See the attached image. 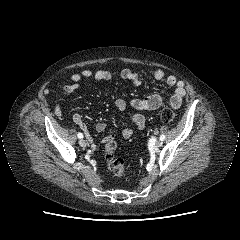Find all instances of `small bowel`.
Masks as SVG:
<instances>
[{"label": "small bowel", "mask_w": 240, "mask_h": 240, "mask_svg": "<svg viewBox=\"0 0 240 240\" xmlns=\"http://www.w3.org/2000/svg\"><path fill=\"white\" fill-rule=\"evenodd\" d=\"M120 76L122 79L129 81L136 87L140 86L143 83L144 79H151V80L165 79L166 84L174 88V92L169 99V104L173 109H178L181 106L183 98L186 94L184 82L181 80H178L173 75L165 76V73L161 69H156L148 74H141L129 68H125L121 70ZM112 77H113V74L107 70H98L93 72L89 69H81L80 71L70 75L69 83L64 86L63 90L65 93L74 92L76 89H78V87L80 86V82L83 79H94L96 81H108V80H111ZM164 100L165 98L162 94L153 93L144 98H136L131 101H126L124 99L119 98L115 101V106L119 111L123 113H126L129 110L151 111L161 107V105L164 103ZM54 113L56 116L62 115V106L60 103H55ZM128 119L139 130L145 129L146 118L142 113H139V112L131 113L128 115ZM72 120L76 125L79 126V128L82 131H84L91 147L93 149L96 148V144L93 142V139L89 135L88 127L84 122L82 116L78 113H75L72 116ZM106 127H107L106 123L101 121L96 124L95 128L97 132L102 133L106 130ZM132 135H133V130L130 128H125L122 131V136L125 139L131 138Z\"/></svg>", "instance_id": "1"}]
</instances>
